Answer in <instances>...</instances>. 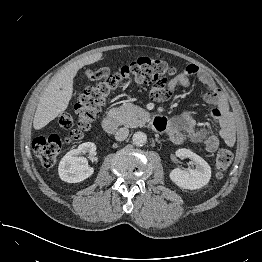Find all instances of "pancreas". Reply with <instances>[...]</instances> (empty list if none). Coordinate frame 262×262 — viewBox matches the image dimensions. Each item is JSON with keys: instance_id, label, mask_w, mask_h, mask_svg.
<instances>
[{"instance_id": "pancreas-1", "label": "pancreas", "mask_w": 262, "mask_h": 262, "mask_svg": "<svg viewBox=\"0 0 262 262\" xmlns=\"http://www.w3.org/2000/svg\"><path fill=\"white\" fill-rule=\"evenodd\" d=\"M110 114L120 124L129 127L142 126L145 123V118L147 116L145 110L132 103H124L118 108H112Z\"/></svg>"}]
</instances>
